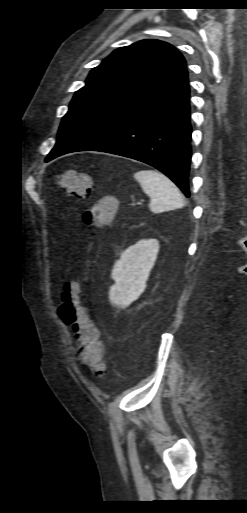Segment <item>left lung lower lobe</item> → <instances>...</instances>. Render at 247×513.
Here are the masks:
<instances>
[{"mask_svg":"<svg viewBox=\"0 0 247 513\" xmlns=\"http://www.w3.org/2000/svg\"><path fill=\"white\" fill-rule=\"evenodd\" d=\"M186 68L146 94L94 120L57 144L46 162L76 151H101L147 163L189 197L191 124Z\"/></svg>","mask_w":247,"mask_h":513,"instance_id":"1","label":"left lung lower lobe"}]
</instances>
